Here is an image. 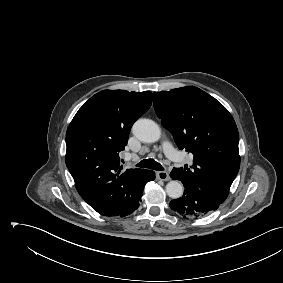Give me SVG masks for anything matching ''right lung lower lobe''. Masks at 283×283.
Masks as SVG:
<instances>
[{
    "instance_id": "1",
    "label": "right lung lower lobe",
    "mask_w": 283,
    "mask_h": 283,
    "mask_svg": "<svg viewBox=\"0 0 283 283\" xmlns=\"http://www.w3.org/2000/svg\"><path fill=\"white\" fill-rule=\"evenodd\" d=\"M142 175H143V177H142V187L143 188H144V185L146 184V182L152 181V180L155 179V173L151 170H147L146 173H144ZM141 196L128 209H126L124 212H122L118 216L124 217V216H127V215L131 214L132 212H134L139 207V201L141 199Z\"/></svg>"
}]
</instances>
